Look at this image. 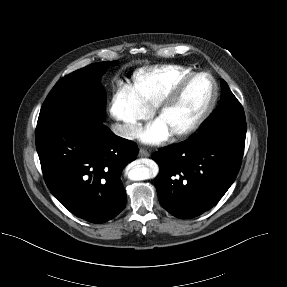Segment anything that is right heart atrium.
I'll return each mask as SVG.
<instances>
[{
	"instance_id": "1",
	"label": "right heart atrium",
	"mask_w": 287,
	"mask_h": 287,
	"mask_svg": "<svg viewBox=\"0 0 287 287\" xmlns=\"http://www.w3.org/2000/svg\"><path fill=\"white\" fill-rule=\"evenodd\" d=\"M109 111L120 124V132L125 138H132L138 131L140 122L148 116L128 84L117 87L111 98Z\"/></svg>"
}]
</instances>
